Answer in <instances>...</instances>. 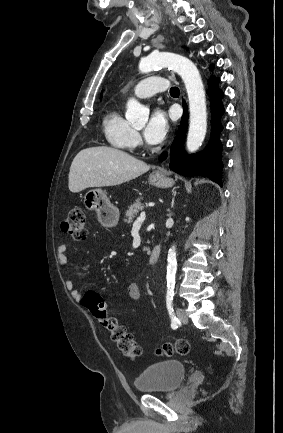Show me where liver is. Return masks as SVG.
Listing matches in <instances>:
<instances>
[{"mask_svg":"<svg viewBox=\"0 0 283 433\" xmlns=\"http://www.w3.org/2000/svg\"><path fill=\"white\" fill-rule=\"evenodd\" d=\"M149 164L111 146L83 148L72 160L68 186L80 192L88 186H113L149 170Z\"/></svg>","mask_w":283,"mask_h":433,"instance_id":"obj_1","label":"liver"}]
</instances>
